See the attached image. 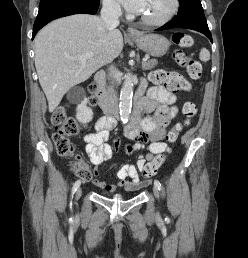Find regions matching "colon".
<instances>
[{"mask_svg": "<svg viewBox=\"0 0 248 258\" xmlns=\"http://www.w3.org/2000/svg\"><path fill=\"white\" fill-rule=\"evenodd\" d=\"M172 41L181 47H190L193 40L190 35L176 31L172 35ZM175 62L184 67L193 80H198L202 76V65L199 61L193 57L187 56L182 50H176L173 54ZM151 79L157 84H164L170 91H180L187 88L186 83L174 72H167L164 70H156L152 73ZM96 90L95 84L89 85V91L94 93ZM91 105L96 104V99L91 97L89 100ZM67 106H59L52 114L51 121L56 126V130L52 134V140L55 145L58 155L61 157L75 158L72 165V171L75 176L79 177L82 181L87 182L92 177V172L88 164L79 156L76 155V146L70 137L76 135L82 128V124L74 119L67 117ZM182 113L184 116L183 122L176 124L168 133V140L174 142L182 129L197 115L196 104L192 101H186L182 107ZM113 145L115 149H118L121 145V141H114ZM125 150L123 151V157L132 159L134 154V144H125ZM165 160L164 155L157 156L153 161L147 164L143 171V177L150 179L153 177L159 167Z\"/></svg>", "mask_w": 248, "mask_h": 258, "instance_id": "5ec220e1", "label": "colon"}]
</instances>
